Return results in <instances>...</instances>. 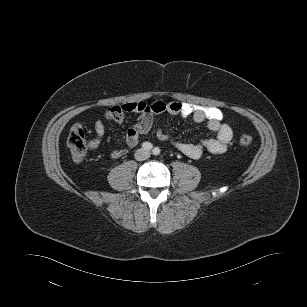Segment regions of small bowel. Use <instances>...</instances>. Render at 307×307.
Wrapping results in <instances>:
<instances>
[{
  "instance_id": "1",
  "label": "small bowel",
  "mask_w": 307,
  "mask_h": 307,
  "mask_svg": "<svg viewBox=\"0 0 307 307\" xmlns=\"http://www.w3.org/2000/svg\"><path fill=\"white\" fill-rule=\"evenodd\" d=\"M127 113L138 114L136 124L126 133V148L116 149L111 153L113 159L124 156L128 149L134 148L140 140V136L151 131L154 117L160 114L177 115L182 118L192 117L197 123H206L207 128L215 133L214 138L205 139L200 143H187L179 141L173 136L158 130L160 140L169 141L181 153L192 159L200 158L204 151L212 154L224 153L232 139L231 126L223 122V113L217 107L199 106L186 102H129L120 106H113L106 112V117L115 122H122ZM95 137L90 141V147L96 148L101 143L105 134V126L102 120L94 124Z\"/></svg>"
}]
</instances>
